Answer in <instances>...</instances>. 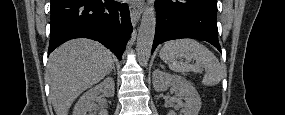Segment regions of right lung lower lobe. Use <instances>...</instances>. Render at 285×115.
<instances>
[{
  "mask_svg": "<svg viewBox=\"0 0 285 115\" xmlns=\"http://www.w3.org/2000/svg\"><path fill=\"white\" fill-rule=\"evenodd\" d=\"M132 31L128 5L114 0H51L48 54L67 40L90 38L121 60Z\"/></svg>",
  "mask_w": 285,
  "mask_h": 115,
  "instance_id": "obj_1",
  "label": "right lung lower lobe"
}]
</instances>
